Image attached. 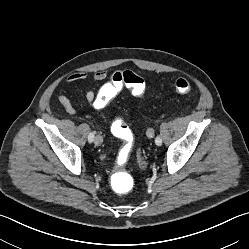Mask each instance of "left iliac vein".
Instances as JSON below:
<instances>
[{
    "label": "left iliac vein",
    "instance_id": "left-iliac-vein-1",
    "mask_svg": "<svg viewBox=\"0 0 249 249\" xmlns=\"http://www.w3.org/2000/svg\"><path fill=\"white\" fill-rule=\"evenodd\" d=\"M147 136H148L149 138H152V137L154 136V131H153L152 129H149V130L147 131Z\"/></svg>",
    "mask_w": 249,
    "mask_h": 249
}]
</instances>
